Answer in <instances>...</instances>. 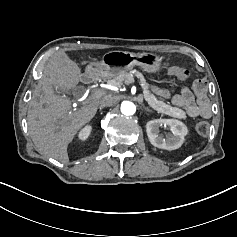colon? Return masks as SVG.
<instances>
[{
	"mask_svg": "<svg viewBox=\"0 0 237 237\" xmlns=\"http://www.w3.org/2000/svg\"><path fill=\"white\" fill-rule=\"evenodd\" d=\"M174 75L179 77L182 80H187L189 78V71L182 67H174L172 69ZM196 131L200 135H207L210 130V125L206 121H200L196 124Z\"/></svg>",
	"mask_w": 237,
	"mask_h": 237,
	"instance_id": "obj_1",
	"label": "colon"
}]
</instances>
